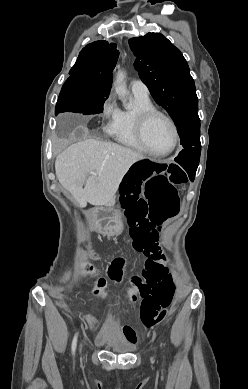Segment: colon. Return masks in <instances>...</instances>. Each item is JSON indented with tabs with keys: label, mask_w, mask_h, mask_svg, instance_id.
I'll list each match as a JSON object with an SVG mask.
<instances>
[{
	"label": "colon",
	"mask_w": 248,
	"mask_h": 389,
	"mask_svg": "<svg viewBox=\"0 0 248 389\" xmlns=\"http://www.w3.org/2000/svg\"><path fill=\"white\" fill-rule=\"evenodd\" d=\"M185 182V172L177 161H152L151 157L133 161L122 177L123 193L117 199L124 206V213L131 216L133 249L147 256L143 269L130 276L126 296L132 301L141 298L140 319L146 328L154 327L166 317L175 295V284L163 263L158 243L159 229L163 222L177 215V186ZM125 264L124 258L114 259L109 267L110 276L120 279ZM105 284L104 277L99 276L95 289L102 291Z\"/></svg>",
	"instance_id": "5ec220e1"
}]
</instances>
